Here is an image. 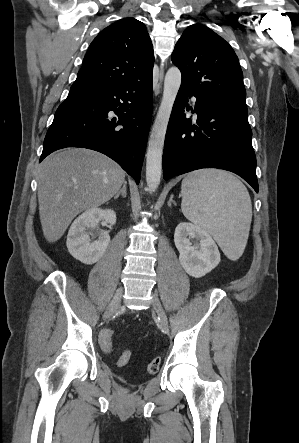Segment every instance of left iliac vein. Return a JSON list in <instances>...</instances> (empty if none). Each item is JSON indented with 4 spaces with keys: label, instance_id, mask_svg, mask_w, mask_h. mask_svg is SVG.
<instances>
[{
    "label": "left iliac vein",
    "instance_id": "4c4485c4",
    "mask_svg": "<svg viewBox=\"0 0 299 443\" xmlns=\"http://www.w3.org/2000/svg\"><path fill=\"white\" fill-rule=\"evenodd\" d=\"M152 309L156 312V314L159 318V322H160L162 330L167 333L169 331L168 319H167L166 313H165V311H164V309L157 297H154L152 299Z\"/></svg>",
    "mask_w": 299,
    "mask_h": 443
}]
</instances>
